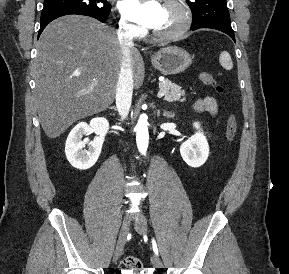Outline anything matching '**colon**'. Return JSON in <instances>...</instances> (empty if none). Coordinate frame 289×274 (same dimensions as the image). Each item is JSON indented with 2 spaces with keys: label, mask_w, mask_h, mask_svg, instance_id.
Segmentation results:
<instances>
[{
  "label": "colon",
  "mask_w": 289,
  "mask_h": 274,
  "mask_svg": "<svg viewBox=\"0 0 289 274\" xmlns=\"http://www.w3.org/2000/svg\"><path fill=\"white\" fill-rule=\"evenodd\" d=\"M202 82L213 88L217 93L223 92V87L219 85L214 78V76L210 72H203L200 75ZM237 133V120L234 115H230L227 120L226 125V138L228 141L232 142ZM121 271H143L141 261L134 256H127L125 257L120 263Z\"/></svg>",
  "instance_id": "5ec220e1"
}]
</instances>
